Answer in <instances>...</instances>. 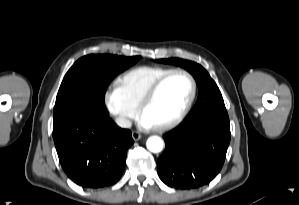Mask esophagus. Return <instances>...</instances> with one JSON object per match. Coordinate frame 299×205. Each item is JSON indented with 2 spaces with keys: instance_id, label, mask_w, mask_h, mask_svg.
<instances>
[{
  "instance_id": "obj_1",
  "label": "esophagus",
  "mask_w": 299,
  "mask_h": 205,
  "mask_svg": "<svg viewBox=\"0 0 299 205\" xmlns=\"http://www.w3.org/2000/svg\"><path fill=\"white\" fill-rule=\"evenodd\" d=\"M132 138H133L135 141H137V140H140V139L142 138V135H141L139 132H137V131H133V132H132Z\"/></svg>"
}]
</instances>
